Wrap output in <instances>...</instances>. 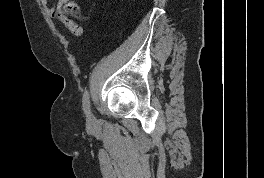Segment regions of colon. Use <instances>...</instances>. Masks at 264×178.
Instances as JSON below:
<instances>
[{"instance_id":"obj_1","label":"colon","mask_w":264,"mask_h":178,"mask_svg":"<svg viewBox=\"0 0 264 178\" xmlns=\"http://www.w3.org/2000/svg\"><path fill=\"white\" fill-rule=\"evenodd\" d=\"M65 11L69 14V15H77L79 12V8L77 6L76 3L69 1V0H65Z\"/></svg>"}]
</instances>
